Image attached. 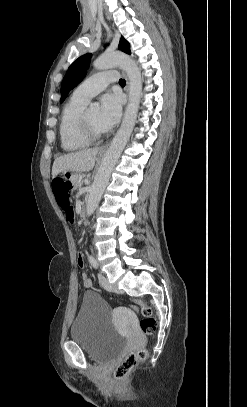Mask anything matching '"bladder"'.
<instances>
[{
  "mask_svg": "<svg viewBox=\"0 0 247 407\" xmlns=\"http://www.w3.org/2000/svg\"><path fill=\"white\" fill-rule=\"evenodd\" d=\"M113 309L97 293L86 291L72 325L71 340L97 362H108L124 349L126 336L112 323Z\"/></svg>",
  "mask_w": 247,
  "mask_h": 407,
  "instance_id": "1",
  "label": "bladder"
}]
</instances>
